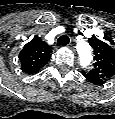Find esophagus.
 <instances>
[{
    "instance_id": "esophagus-1",
    "label": "esophagus",
    "mask_w": 115,
    "mask_h": 119,
    "mask_svg": "<svg viewBox=\"0 0 115 119\" xmlns=\"http://www.w3.org/2000/svg\"><path fill=\"white\" fill-rule=\"evenodd\" d=\"M67 46H68L71 50H74V47H73L72 43H69Z\"/></svg>"
}]
</instances>
